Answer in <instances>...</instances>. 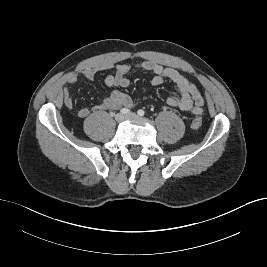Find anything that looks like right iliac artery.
Segmentation results:
<instances>
[{
  "instance_id": "1",
  "label": "right iliac artery",
  "mask_w": 267,
  "mask_h": 267,
  "mask_svg": "<svg viewBox=\"0 0 267 267\" xmlns=\"http://www.w3.org/2000/svg\"><path fill=\"white\" fill-rule=\"evenodd\" d=\"M120 112H121L122 114H129V113H130V110L127 109V108H123V109L120 110Z\"/></svg>"
}]
</instances>
